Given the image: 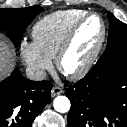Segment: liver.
<instances>
[{"label":"liver","mask_w":127,"mask_h":127,"mask_svg":"<svg viewBox=\"0 0 127 127\" xmlns=\"http://www.w3.org/2000/svg\"><path fill=\"white\" fill-rule=\"evenodd\" d=\"M14 61V51L8 41L0 36V80L10 72Z\"/></svg>","instance_id":"6515ba94"}]
</instances>
